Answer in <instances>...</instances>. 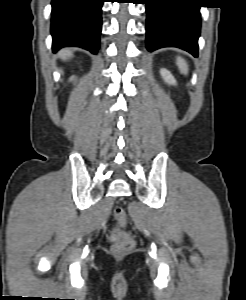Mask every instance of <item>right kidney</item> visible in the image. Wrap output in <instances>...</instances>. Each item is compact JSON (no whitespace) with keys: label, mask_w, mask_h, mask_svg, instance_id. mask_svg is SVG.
<instances>
[{"label":"right kidney","mask_w":246,"mask_h":300,"mask_svg":"<svg viewBox=\"0 0 246 300\" xmlns=\"http://www.w3.org/2000/svg\"><path fill=\"white\" fill-rule=\"evenodd\" d=\"M74 79V76L73 77H71V79L70 80H73Z\"/></svg>","instance_id":"ca27d5eb"}]
</instances>
